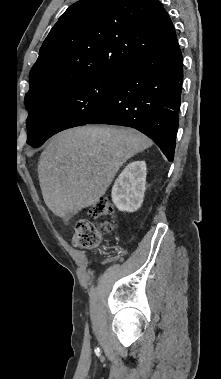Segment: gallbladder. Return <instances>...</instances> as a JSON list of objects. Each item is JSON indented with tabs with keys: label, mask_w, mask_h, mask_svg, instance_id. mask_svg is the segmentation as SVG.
<instances>
[{
	"label": "gallbladder",
	"mask_w": 221,
	"mask_h": 379,
	"mask_svg": "<svg viewBox=\"0 0 221 379\" xmlns=\"http://www.w3.org/2000/svg\"><path fill=\"white\" fill-rule=\"evenodd\" d=\"M73 216L72 213H67L66 216L64 217V222L67 223L68 220Z\"/></svg>",
	"instance_id": "bac80fb5"
}]
</instances>
